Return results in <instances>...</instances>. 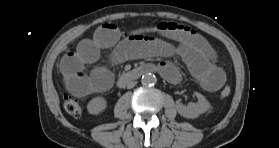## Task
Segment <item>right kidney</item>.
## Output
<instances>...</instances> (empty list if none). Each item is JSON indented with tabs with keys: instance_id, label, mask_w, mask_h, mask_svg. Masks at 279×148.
I'll return each instance as SVG.
<instances>
[{
	"instance_id": "right-kidney-1",
	"label": "right kidney",
	"mask_w": 279,
	"mask_h": 148,
	"mask_svg": "<svg viewBox=\"0 0 279 148\" xmlns=\"http://www.w3.org/2000/svg\"><path fill=\"white\" fill-rule=\"evenodd\" d=\"M107 107V101L103 97L93 98L87 105V110L90 114H100Z\"/></svg>"
}]
</instances>
